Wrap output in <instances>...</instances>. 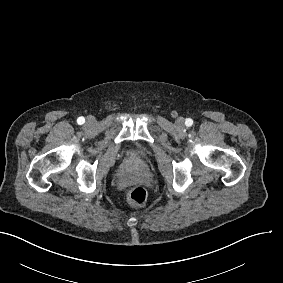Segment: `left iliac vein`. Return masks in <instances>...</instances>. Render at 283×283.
Here are the masks:
<instances>
[{"instance_id":"1","label":"left iliac vein","mask_w":283,"mask_h":283,"mask_svg":"<svg viewBox=\"0 0 283 283\" xmlns=\"http://www.w3.org/2000/svg\"><path fill=\"white\" fill-rule=\"evenodd\" d=\"M183 123H184L183 118H178V119H177V125H178V126L182 125Z\"/></svg>"}]
</instances>
